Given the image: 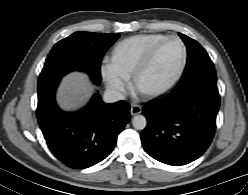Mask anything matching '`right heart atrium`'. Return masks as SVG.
I'll use <instances>...</instances> for the list:
<instances>
[{
  "mask_svg": "<svg viewBox=\"0 0 248 195\" xmlns=\"http://www.w3.org/2000/svg\"><path fill=\"white\" fill-rule=\"evenodd\" d=\"M106 86L112 90L122 92L127 87V78L114 71L112 65L106 67L102 72Z\"/></svg>",
  "mask_w": 248,
  "mask_h": 195,
  "instance_id": "1",
  "label": "right heart atrium"
}]
</instances>
